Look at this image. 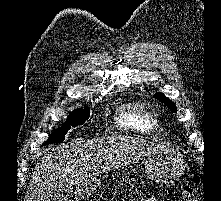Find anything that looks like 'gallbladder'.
<instances>
[{"label":"gallbladder","instance_id":"1","mask_svg":"<svg viewBox=\"0 0 221 201\" xmlns=\"http://www.w3.org/2000/svg\"><path fill=\"white\" fill-rule=\"evenodd\" d=\"M73 195V187L69 184L59 185L54 193V201H68Z\"/></svg>","mask_w":221,"mask_h":201}]
</instances>
